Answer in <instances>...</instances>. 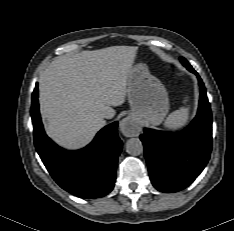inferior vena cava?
Returning <instances> with one entry per match:
<instances>
[{
    "mask_svg": "<svg viewBox=\"0 0 234 231\" xmlns=\"http://www.w3.org/2000/svg\"><path fill=\"white\" fill-rule=\"evenodd\" d=\"M105 117H106V118H108V119H110V118H112V117H113V115H112V114H110V113H105Z\"/></svg>",
    "mask_w": 234,
    "mask_h": 231,
    "instance_id": "inferior-vena-cava-1",
    "label": "inferior vena cava"
}]
</instances>
